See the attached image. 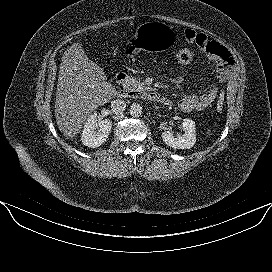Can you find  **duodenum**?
Returning a JSON list of instances; mask_svg holds the SVG:
<instances>
[{
	"mask_svg": "<svg viewBox=\"0 0 272 272\" xmlns=\"http://www.w3.org/2000/svg\"><path fill=\"white\" fill-rule=\"evenodd\" d=\"M127 79V74L124 72H119L116 75V83L121 86ZM118 94H124L125 92H123V90L121 89V87L118 88L117 90ZM142 97L145 99H148L150 101L159 103V104H163V105H169L170 104V99L159 92L156 91H144L142 94Z\"/></svg>",
	"mask_w": 272,
	"mask_h": 272,
	"instance_id": "410a0bca",
	"label": "duodenum"
}]
</instances>
